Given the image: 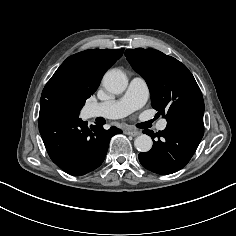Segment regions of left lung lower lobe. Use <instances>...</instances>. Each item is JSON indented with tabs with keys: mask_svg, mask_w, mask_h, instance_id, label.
<instances>
[{
	"mask_svg": "<svg viewBox=\"0 0 236 236\" xmlns=\"http://www.w3.org/2000/svg\"><path fill=\"white\" fill-rule=\"evenodd\" d=\"M153 139L152 149L139 154L142 166L158 174H172L191 159L204 134L203 117L184 116L167 121L159 133L144 130Z\"/></svg>",
	"mask_w": 236,
	"mask_h": 236,
	"instance_id": "left-lung-lower-lobe-1",
	"label": "left lung lower lobe"
}]
</instances>
